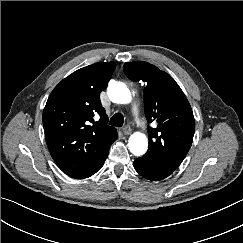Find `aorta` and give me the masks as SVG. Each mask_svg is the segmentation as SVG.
Returning a JSON list of instances; mask_svg holds the SVG:
<instances>
[{
  "instance_id": "aorta-1",
  "label": "aorta",
  "mask_w": 243,
  "mask_h": 243,
  "mask_svg": "<svg viewBox=\"0 0 243 243\" xmlns=\"http://www.w3.org/2000/svg\"><path fill=\"white\" fill-rule=\"evenodd\" d=\"M107 94L109 99L117 104H127L132 100L130 90L121 82L110 83L107 88ZM128 148L135 156L145 154L148 148V139L146 135L140 132L133 133L129 138Z\"/></svg>"
}]
</instances>
